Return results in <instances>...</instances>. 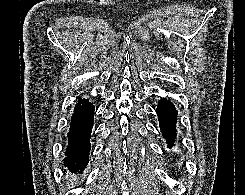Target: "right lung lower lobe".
Returning <instances> with one entry per match:
<instances>
[{
    "mask_svg": "<svg viewBox=\"0 0 245 195\" xmlns=\"http://www.w3.org/2000/svg\"><path fill=\"white\" fill-rule=\"evenodd\" d=\"M94 120V106L88 99L79 100L76 104L68 132V146L64 165L70 170H84L88 164L90 136Z\"/></svg>",
    "mask_w": 245,
    "mask_h": 195,
    "instance_id": "1",
    "label": "right lung lower lobe"
}]
</instances>
